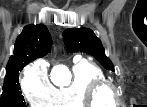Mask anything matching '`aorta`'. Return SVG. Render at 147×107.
Masks as SVG:
<instances>
[{"label": "aorta", "instance_id": "1", "mask_svg": "<svg viewBox=\"0 0 147 107\" xmlns=\"http://www.w3.org/2000/svg\"><path fill=\"white\" fill-rule=\"evenodd\" d=\"M57 68L60 69V70H62V71H65L66 70V68L64 66H58Z\"/></svg>", "mask_w": 147, "mask_h": 107}]
</instances>
